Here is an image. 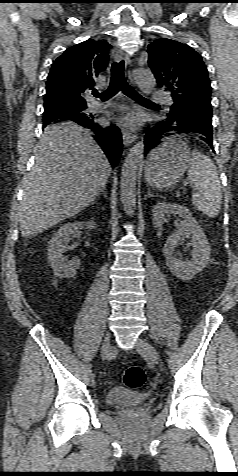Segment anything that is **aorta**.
I'll return each mask as SVG.
<instances>
[{"instance_id":"aorta-1","label":"aorta","mask_w":238,"mask_h":476,"mask_svg":"<svg viewBox=\"0 0 238 476\" xmlns=\"http://www.w3.org/2000/svg\"><path fill=\"white\" fill-rule=\"evenodd\" d=\"M134 79L140 90L145 94H150L156 85V79L149 70H135ZM144 149L145 144L143 140L136 142L130 149L122 167L120 199L123 209L128 216L133 215L136 206L137 171L143 161Z\"/></svg>"}]
</instances>
